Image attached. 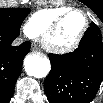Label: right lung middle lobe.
Instances as JSON below:
<instances>
[{"instance_id": "obj_1", "label": "right lung middle lobe", "mask_w": 103, "mask_h": 103, "mask_svg": "<svg viewBox=\"0 0 103 103\" xmlns=\"http://www.w3.org/2000/svg\"><path fill=\"white\" fill-rule=\"evenodd\" d=\"M27 8H0V28L20 33V27L29 14Z\"/></svg>"}]
</instances>
